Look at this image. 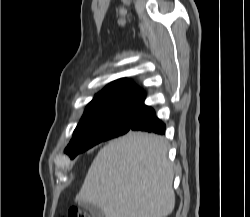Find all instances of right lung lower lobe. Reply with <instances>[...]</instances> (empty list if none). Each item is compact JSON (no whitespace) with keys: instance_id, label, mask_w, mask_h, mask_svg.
Listing matches in <instances>:
<instances>
[{"instance_id":"98d812e1","label":"right lung lower lobe","mask_w":250,"mask_h":217,"mask_svg":"<svg viewBox=\"0 0 250 217\" xmlns=\"http://www.w3.org/2000/svg\"><path fill=\"white\" fill-rule=\"evenodd\" d=\"M131 131H146L157 134H164L165 124L155 116L154 110L144 104L131 127Z\"/></svg>"}]
</instances>
